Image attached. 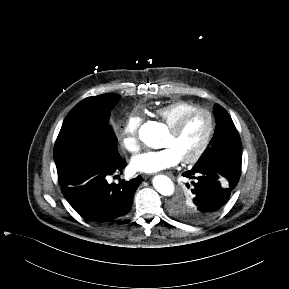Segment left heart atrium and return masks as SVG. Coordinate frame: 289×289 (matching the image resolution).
Listing matches in <instances>:
<instances>
[{
  "label": "left heart atrium",
  "instance_id": "39dd6f15",
  "mask_svg": "<svg viewBox=\"0 0 289 289\" xmlns=\"http://www.w3.org/2000/svg\"><path fill=\"white\" fill-rule=\"evenodd\" d=\"M180 161L181 158L173 148L164 147L134 156L131 160V167L137 172L155 173L174 167Z\"/></svg>",
  "mask_w": 289,
  "mask_h": 289
}]
</instances>
